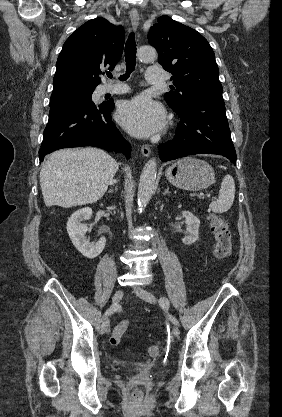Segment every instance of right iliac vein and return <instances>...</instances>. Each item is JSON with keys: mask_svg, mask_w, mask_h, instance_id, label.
I'll use <instances>...</instances> for the list:
<instances>
[{"mask_svg": "<svg viewBox=\"0 0 282 417\" xmlns=\"http://www.w3.org/2000/svg\"><path fill=\"white\" fill-rule=\"evenodd\" d=\"M123 295H124L123 290L116 291L115 294H114V296H113V298H112V302L114 304L119 303V301L122 299ZM108 327H109V321L108 320H105L102 323V325H101V330H100L101 333H103V334L106 333L107 330H108Z\"/></svg>", "mask_w": 282, "mask_h": 417, "instance_id": "1", "label": "right iliac vein"}]
</instances>
